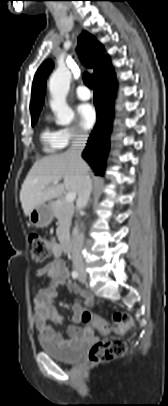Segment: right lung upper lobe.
I'll return each instance as SVG.
<instances>
[{
    "label": "right lung upper lobe",
    "instance_id": "cb5924a9",
    "mask_svg": "<svg viewBox=\"0 0 168 406\" xmlns=\"http://www.w3.org/2000/svg\"><path fill=\"white\" fill-rule=\"evenodd\" d=\"M78 48L82 55L85 65L94 69V81L110 73L113 69L110 65V59L104 55L103 46L98 43L91 34L83 31L78 39ZM53 68L51 60L45 61L38 69L33 85L30 110L32 120H37L42 108L45 94V82L50 71Z\"/></svg>",
    "mask_w": 168,
    "mask_h": 406
}]
</instances>
